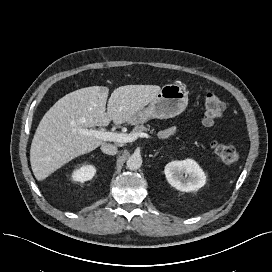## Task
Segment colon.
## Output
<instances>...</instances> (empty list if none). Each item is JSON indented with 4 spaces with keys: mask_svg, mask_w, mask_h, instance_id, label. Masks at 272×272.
Returning <instances> with one entry per match:
<instances>
[{
    "mask_svg": "<svg viewBox=\"0 0 272 272\" xmlns=\"http://www.w3.org/2000/svg\"><path fill=\"white\" fill-rule=\"evenodd\" d=\"M224 110L225 104L221 98L212 90L207 89L204 96V125L207 127L214 126ZM210 145L217 156L226 163H234L240 158L239 152L229 144L212 140Z\"/></svg>",
    "mask_w": 272,
    "mask_h": 272,
    "instance_id": "5ec220e1",
    "label": "colon"
}]
</instances>
